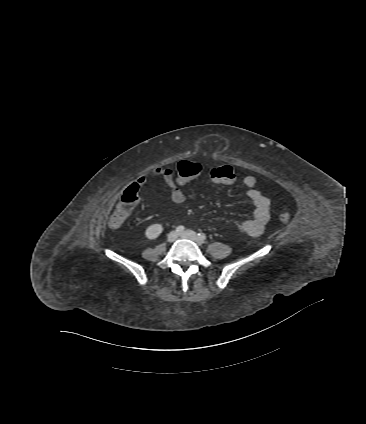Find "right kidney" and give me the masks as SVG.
I'll list each match as a JSON object with an SVG mask.
<instances>
[{"label":"right kidney","instance_id":"obj_1","mask_svg":"<svg viewBox=\"0 0 366 424\" xmlns=\"http://www.w3.org/2000/svg\"><path fill=\"white\" fill-rule=\"evenodd\" d=\"M162 231H163V227L161 224H153L146 229L145 236L149 240H154L162 233Z\"/></svg>","mask_w":366,"mask_h":424}]
</instances>
